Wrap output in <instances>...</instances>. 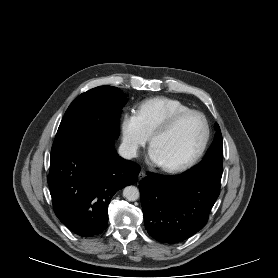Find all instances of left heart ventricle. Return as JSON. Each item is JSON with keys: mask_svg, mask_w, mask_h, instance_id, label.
Returning <instances> with one entry per match:
<instances>
[{"mask_svg": "<svg viewBox=\"0 0 278 278\" xmlns=\"http://www.w3.org/2000/svg\"><path fill=\"white\" fill-rule=\"evenodd\" d=\"M204 136L200 117L190 115L182 119L170 132L158 136L152 147L162 165H174L190 158L199 148Z\"/></svg>", "mask_w": 278, "mask_h": 278, "instance_id": "left-heart-ventricle-1", "label": "left heart ventricle"}]
</instances>
